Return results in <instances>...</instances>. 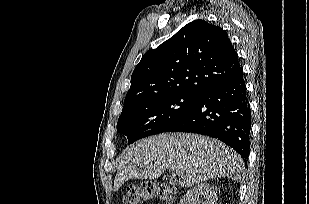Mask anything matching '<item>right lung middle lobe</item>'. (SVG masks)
<instances>
[{
    "label": "right lung middle lobe",
    "mask_w": 309,
    "mask_h": 204,
    "mask_svg": "<svg viewBox=\"0 0 309 204\" xmlns=\"http://www.w3.org/2000/svg\"><path fill=\"white\" fill-rule=\"evenodd\" d=\"M199 95L172 93L139 99L125 104L118 119L117 132L129 143L165 132L198 100Z\"/></svg>",
    "instance_id": "right-lung-middle-lobe-1"
}]
</instances>
